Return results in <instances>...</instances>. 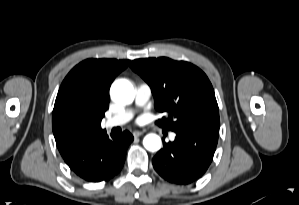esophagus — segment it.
Masks as SVG:
<instances>
[{"mask_svg":"<svg viewBox=\"0 0 299 205\" xmlns=\"http://www.w3.org/2000/svg\"><path fill=\"white\" fill-rule=\"evenodd\" d=\"M141 135H143V132H141V131H134V132H133V136H134L135 138L140 137Z\"/></svg>","mask_w":299,"mask_h":205,"instance_id":"obj_1","label":"esophagus"}]
</instances>
